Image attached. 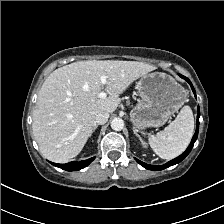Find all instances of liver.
Listing matches in <instances>:
<instances>
[{"instance_id": "6515ba94", "label": "liver", "mask_w": 224, "mask_h": 224, "mask_svg": "<svg viewBox=\"0 0 224 224\" xmlns=\"http://www.w3.org/2000/svg\"><path fill=\"white\" fill-rule=\"evenodd\" d=\"M156 67L137 61L88 60L53 71L39 91L33 112V135L42 155L66 163L83 149L94 131L95 116L112 113L130 84ZM106 76L103 87L100 77ZM104 89L108 96L98 98Z\"/></svg>"}]
</instances>
